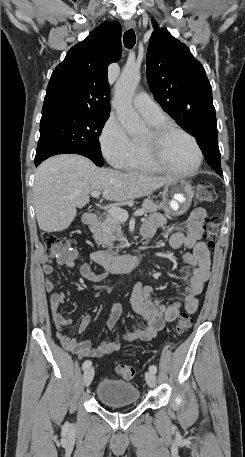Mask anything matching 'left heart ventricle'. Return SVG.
Wrapping results in <instances>:
<instances>
[{"label":"left heart ventricle","mask_w":245,"mask_h":457,"mask_svg":"<svg viewBox=\"0 0 245 457\" xmlns=\"http://www.w3.org/2000/svg\"><path fill=\"white\" fill-rule=\"evenodd\" d=\"M140 139L146 142L150 156L164 166L175 170H190L196 163L192 143L181 133L174 132L163 144H158L149 129Z\"/></svg>","instance_id":"obj_1"}]
</instances>
